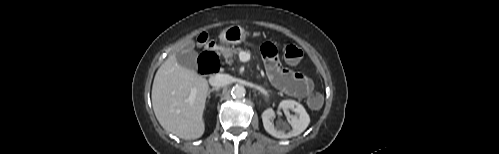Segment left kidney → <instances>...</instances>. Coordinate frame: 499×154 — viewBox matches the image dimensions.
<instances>
[{
	"label": "left kidney",
	"instance_id": "left-kidney-1",
	"mask_svg": "<svg viewBox=\"0 0 499 154\" xmlns=\"http://www.w3.org/2000/svg\"><path fill=\"white\" fill-rule=\"evenodd\" d=\"M279 109H282L284 112H288L289 110H291L295 113V115L291 116L292 130L288 133H285L284 130L276 129L271 122V119L275 115V112L272 108H268L262 113V121L265 130L270 135L280 139L291 138L293 136L301 134L308 127L310 123V117L307 114L305 108L300 103L294 100H283L279 104Z\"/></svg>",
	"mask_w": 499,
	"mask_h": 154
}]
</instances>
